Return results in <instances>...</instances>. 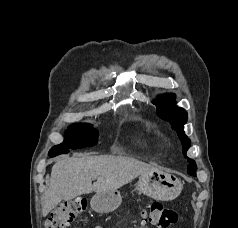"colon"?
I'll return each mask as SVG.
<instances>
[{
  "label": "colon",
  "instance_id": "obj_1",
  "mask_svg": "<svg viewBox=\"0 0 238 228\" xmlns=\"http://www.w3.org/2000/svg\"><path fill=\"white\" fill-rule=\"evenodd\" d=\"M86 206L87 203L84 199H75L57 208L45 222V228H68L86 210ZM143 217L145 221L159 228H170L181 220L174 210L159 202L151 203Z\"/></svg>",
  "mask_w": 238,
  "mask_h": 228
}]
</instances>
